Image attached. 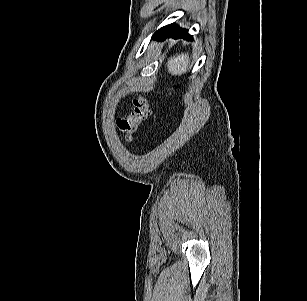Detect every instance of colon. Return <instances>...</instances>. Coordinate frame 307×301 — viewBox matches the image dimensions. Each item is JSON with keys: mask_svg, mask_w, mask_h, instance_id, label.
Returning <instances> with one entry per match:
<instances>
[{"mask_svg": "<svg viewBox=\"0 0 307 301\" xmlns=\"http://www.w3.org/2000/svg\"><path fill=\"white\" fill-rule=\"evenodd\" d=\"M151 116V110L146 98L138 97L133 102V111L126 117L118 118L116 125L124 141L129 142L138 127Z\"/></svg>", "mask_w": 307, "mask_h": 301, "instance_id": "obj_1", "label": "colon"}]
</instances>
